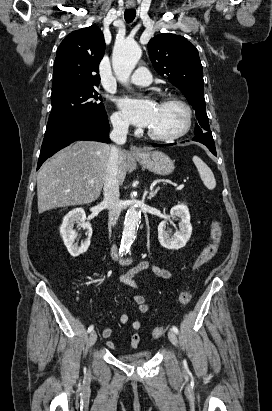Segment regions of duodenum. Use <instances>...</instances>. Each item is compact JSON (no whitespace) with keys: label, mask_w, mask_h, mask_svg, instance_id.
Returning a JSON list of instances; mask_svg holds the SVG:
<instances>
[{"label":"duodenum","mask_w":272,"mask_h":411,"mask_svg":"<svg viewBox=\"0 0 272 411\" xmlns=\"http://www.w3.org/2000/svg\"><path fill=\"white\" fill-rule=\"evenodd\" d=\"M139 247H140V243H138L137 248H136V250H135L134 253H132V254H130V255H126V256H124V257H122V258H118V259H117L118 262H119L120 264H122V265H129V264L133 263L134 260H135V258H136V255H137V252H138ZM112 255H113L114 257L118 255V248H114V249L112 250Z\"/></svg>","instance_id":"duodenum-1"}]
</instances>
